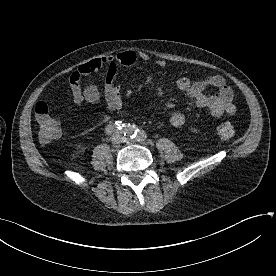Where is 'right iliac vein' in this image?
I'll list each match as a JSON object with an SVG mask.
<instances>
[{"mask_svg":"<svg viewBox=\"0 0 276 276\" xmlns=\"http://www.w3.org/2000/svg\"><path fill=\"white\" fill-rule=\"evenodd\" d=\"M111 141H112L113 146H115V147L119 146V144L121 143L120 135L119 134H114L112 136Z\"/></svg>","mask_w":276,"mask_h":276,"instance_id":"1","label":"right iliac vein"}]
</instances>
